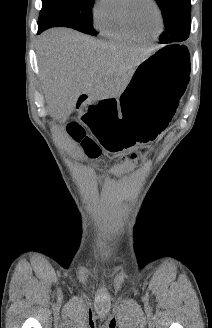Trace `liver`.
<instances>
[{
  "instance_id": "1",
  "label": "liver",
  "mask_w": 212,
  "mask_h": 328,
  "mask_svg": "<svg viewBox=\"0 0 212 328\" xmlns=\"http://www.w3.org/2000/svg\"><path fill=\"white\" fill-rule=\"evenodd\" d=\"M39 42L46 102L62 122L69 118L82 94L95 99L119 97L135 68L153 52L66 28L47 30Z\"/></svg>"
}]
</instances>
